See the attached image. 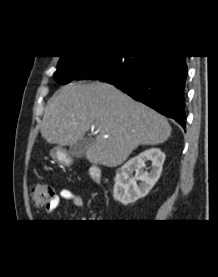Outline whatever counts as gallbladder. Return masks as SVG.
<instances>
[{
	"mask_svg": "<svg viewBox=\"0 0 218 277\" xmlns=\"http://www.w3.org/2000/svg\"><path fill=\"white\" fill-rule=\"evenodd\" d=\"M91 139L81 138L76 143L70 146L69 154L73 157L80 158L82 157L88 148L91 146Z\"/></svg>",
	"mask_w": 218,
	"mask_h": 277,
	"instance_id": "bac80fb5",
	"label": "gallbladder"
}]
</instances>
